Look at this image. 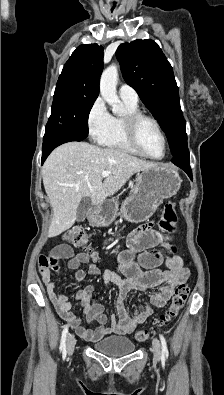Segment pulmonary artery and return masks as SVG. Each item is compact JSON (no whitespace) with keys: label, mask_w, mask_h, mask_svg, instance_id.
<instances>
[{"label":"pulmonary artery","mask_w":224,"mask_h":395,"mask_svg":"<svg viewBox=\"0 0 224 395\" xmlns=\"http://www.w3.org/2000/svg\"><path fill=\"white\" fill-rule=\"evenodd\" d=\"M119 95L122 100L129 101L131 103H137L138 102V94L137 92L129 85L127 84H122L119 87Z\"/></svg>","instance_id":"1"}]
</instances>
